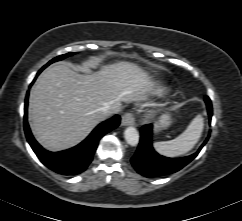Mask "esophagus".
Returning a JSON list of instances; mask_svg holds the SVG:
<instances>
[{
	"label": "esophagus",
	"mask_w": 242,
	"mask_h": 221,
	"mask_svg": "<svg viewBox=\"0 0 242 221\" xmlns=\"http://www.w3.org/2000/svg\"><path fill=\"white\" fill-rule=\"evenodd\" d=\"M135 119L132 113H126L121 120V125L122 126H131L134 125Z\"/></svg>",
	"instance_id": "1"
}]
</instances>
